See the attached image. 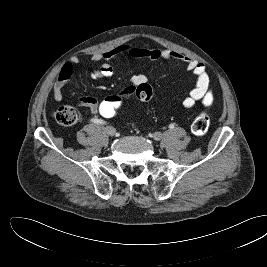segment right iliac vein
Masks as SVG:
<instances>
[{
    "label": "right iliac vein",
    "instance_id": "right-iliac-vein-1",
    "mask_svg": "<svg viewBox=\"0 0 267 267\" xmlns=\"http://www.w3.org/2000/svg\"><path fill=\"white\" fill-rule=\"evenodd\" d=\"M105 132L109 135V136H114L116 133L115 128L111 127V126H107L105 127Z\"/></svg>",
    "mask_w": 267,
    "mask_h": 267
}]
</instances>
